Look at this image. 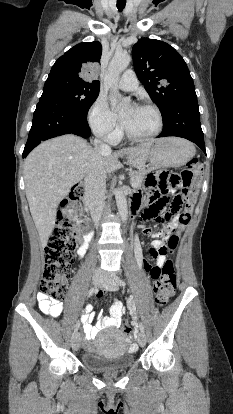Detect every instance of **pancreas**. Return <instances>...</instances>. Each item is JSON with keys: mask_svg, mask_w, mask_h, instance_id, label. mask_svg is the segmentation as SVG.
Here are the masks:
<instances>
[{"mask_svg": "<svg viewBox=\"0 0 233 414\" xmlns=\"http://www.w3.org/2000/svg\"><path fill=\"white\" fill-rule=\"evenodd\" d=\"M149 171L150 169L130 172L131 183L134 184L133 188L141 187L144 177Z\"/></svg>", "mask_w": 233, "mask_h": 414, "instance_id": "obj_1", "label": "pancreas"}]
</instances>
